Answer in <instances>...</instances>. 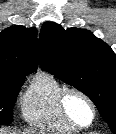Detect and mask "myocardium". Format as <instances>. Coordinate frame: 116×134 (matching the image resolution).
<instances>
[{
	"label": "myocardium",
	"instance_id": "myocardium-1",
	"mask_svg": "<svg viewBox=\"0 0 116 134\" xmlns=\"http://www.w3.org/2000/svg\"><path fill=\"white\" fill-rule=\"evenodd\" d=\"M70 95H77L81 97L90 107L92 112V119L91 122L87 125L80 124L77 122L69 113L67 109V99ZM57 105L59 112L63 119L68 122L71 126L77 128V129H86L96 122L97 119V108L93 100L82 90L75 88V87H64L62 91L58 95L57 99Z\"/></svg>",
	"mask_w": 116,
	"mask_h": 134
}]
</instances>
